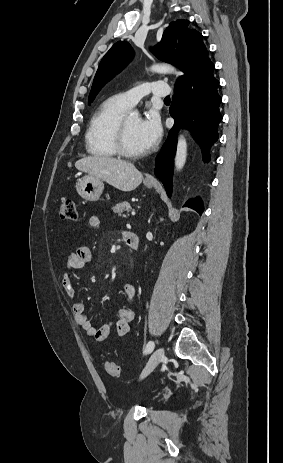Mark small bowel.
Masks as SVG:
<instances>
[{"mask_svg":"<svg viewBox=\"0 0 283 463\" xmlns=\"http://www.w3.org/2000/svg\"><path fill=\"white\" fill-rule=\"evenodd\" d=\"M100 220L97 216L88 218V226L97 228ZM126 233L123 235L125 236ZM92 250L87 246L79 247L76 251L70 252L64 263L62 285L66 295L72 300V311L75 322L86 332V334L97 340H107L113 330H116L118 336H125L130 331V325L134 320L135 313L130 307H122L117 312L115 321L96 327L86 314V305L83 300L75 298V287L72 280V271L83 267L92 260ZM122 294L127 302H132L135 298L136 291L132 284H125L122 288Z\"/></svg>","mask_w":283,"mask_h":463,"instance_id":"1","label":"small bowel"}]
</instances>
